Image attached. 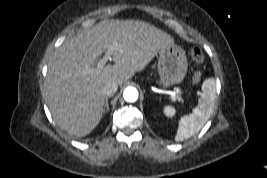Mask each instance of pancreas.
<instances>
[{
  "label": "pancreas",
  "mask_w": 267,
  "mask_h": 178,
  "mask_svg": "<svg viewBox=\"0 0 267 178\" xmlns=\"http://www.w3.org/2000/svg\"><path fill=\"white\" fill-rule=\"evenodd\" d=\"M176 100H177V101H181V99H180L179 96H176Z\"/></svg>",
  "instance_id": "cf45deb5"
}]
</instances>
